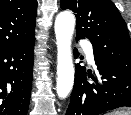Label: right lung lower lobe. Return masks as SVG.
I'll list each match as a JSON object with an SVG mask.
<instances>
[{
    "label": "right lung lower lobe",
    "instance_id": "1",
    "mask_svg": "<svg viewBox=\"0 0 131 115\" xmlns=\"http://www.w3.org/2000/svg\"><path fill=\"white\" fill-rule=\"evenodd\" d=\"M35 38L0 51V115H27Z\"/></svg>",
    "mask_w": 131,
    "mask_h": 115
}]
</instances>
